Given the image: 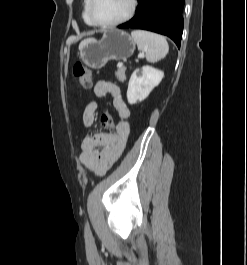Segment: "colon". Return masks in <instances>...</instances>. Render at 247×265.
<instances>
[{"instance_id": "obj_1", "label": "colon", "mask_w": 247, "mask_h": 265, "mask_svg": "<svg viewBox=\"0 0 247 265\" xmlns=\"http://www.w3.org/2000/svg\"><path fill=\"white\" fill-rule=\"evenodd\" d=\"M73 75L84 89H89L92 85L91 71L81 63L73 66ZM101 123L104 127L113 130L115 128L114 121L110 114L106 111L101 115Z\"/></svg>"}]
</instances>
